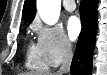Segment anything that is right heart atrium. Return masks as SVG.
<instances>
[{"instance_id": "1", "label": "right heart atrium", "mask_w": 107, "mask_h": 75, "mask_svg": "<svg viewBox=\"0 0 107 75\" xmlns=\"http://www.w3.org/2000/svg\"><path fill=\"white\" fill-rule=\"evenodd\" d=\"M32 28L36 33L38 50L48 66L56 67L72 55V44L60 26L35 21Z\"/></svg>"}]
</instances>
